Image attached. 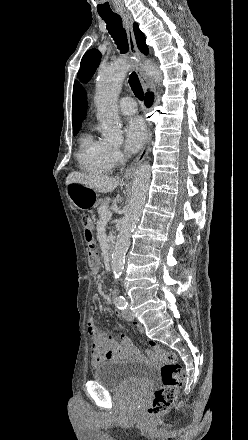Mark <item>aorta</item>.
<instances>
[{"instance_id": "aorta-1", "label": "aorta", "mask_w": 248, "mask_h": 440, "mask_svg": "<svg viewBox=\"0 0 248 440\" xmlns=\"http://www.w3.org/2000/svg\"><path fill=\"white\" fill-rule=\"evenodd\" d=\"M131 66V62L127 60H117L100 72L96 84L95 103L97 106V119L101 124V133L105 141L115 145H120L123 142L122 125L117 112V100L123 81ZM143 67L146 73L156 83L160 84L162 76L156 66L151 62H146ZM150 178L151 167L148 163H144L136 171L131 197L126 206L112 254V271L116 279L122 274L131 234L141 217L147 198Z\"/></svg>"}]
</instances>
